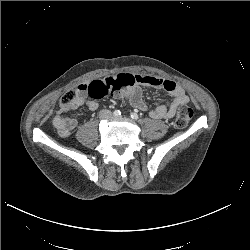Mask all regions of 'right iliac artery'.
Masks as SVG:
<instances>
[{
    "label": "right iliac artery",
    "mask_w": 250,
    "mask_h": 250,
    "mask_svg": "<svg viewBox=\"0 0 250 250\" xmlns=\"http://www.w3.org/2000/svg\"><path fill=\"white\" fill-rule=\"evenodd\" d=\"M113 114H114V116H120L121 115V112H120V110H115L114 112H113Z\"/></svg>",
    "instance_id": "obj_1"
}]
</instances>
